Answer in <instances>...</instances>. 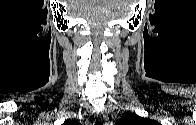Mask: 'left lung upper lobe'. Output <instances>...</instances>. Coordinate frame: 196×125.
Listing matches in <instances>:
<instances>
[{
  "mask_svg": "<svg viewBox=\"0 0 196 125\" xmlns=\"http://www.w3.org/2000/svg\"><path fill=\"white\" fill-rule=\"evenodd\" d=\"M122 125H157L158 122L149 118H143L138 116L136 113H128L121 118L119 121Z\"/></svg>",
  "mask_w": 196,
  "mask_h": 125,
  "instance_id": "1",
  "label": "left lung upper lobe"
}]
</instances>
